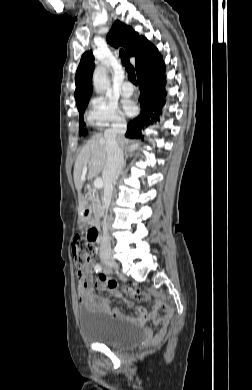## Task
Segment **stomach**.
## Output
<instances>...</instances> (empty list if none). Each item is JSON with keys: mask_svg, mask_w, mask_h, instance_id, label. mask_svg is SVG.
Segmentation results:
<instances>
[{"mask_svg": "<svg viewBox=\"0 0 252 390\" xmlns=\"http://www.w3.org/2000/svg\"><path fill=\"white\" fill-rule=\"evenodd\" d=\"M84 224H85V220H84L83 218L80 219V221H79V226H80V227H83Z\"/></svg>", "mask_w": 252, "mask_h": 390, "instance_id": "obj_1", "label": "stomach"}]
</instances>
